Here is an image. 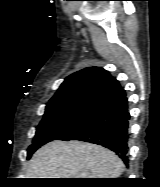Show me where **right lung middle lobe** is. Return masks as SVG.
Masks as SVG:
<instances>
[{
  "instance_id": "1",
  "label": "right lung middle lobe",
  "mask_w": 160,
  "mask_h": 187,
  "mask_svg": "<svg viewBox=\"0 0 160 187\" xmlns=\"http://www.w3.org/2000/svg\"><path fill=\"white\" fill-rule=\"evenodd\" d=\"M94 103H69L57 107L46 108L44 118L36 129L33 144L28 149L31 155L42 145L57 139L75 127L94 109Z\"/></svg>"
}]
</instances>
